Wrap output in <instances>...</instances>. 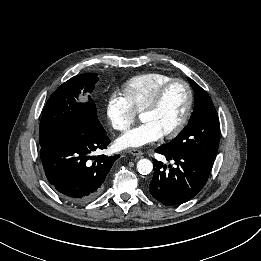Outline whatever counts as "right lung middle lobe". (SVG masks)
I'll list each match as a JSON object with an SVG mask.
<instances>
[{"label": "right lung middle lobe", "mask_w": 261, "mask_h": 261, "mask_svg": "<svg viewBox=\"0 0 261 261\" xmlns=\"http://www.w3.org/2000/svg\"><path fill=\"white\" fill-rule=\"evenodd\" d=\"M97 81L96 73L74 76L50 96L40 123L41 148L70 135L104 131L97 118L96 106L91 97L89 96V101L86 103L75 100L82 91L91 93Z\"/></svg>", "instance_id": "obj_1"}]
</instances>
